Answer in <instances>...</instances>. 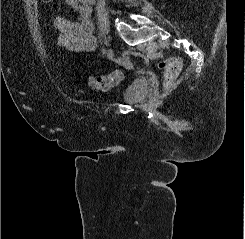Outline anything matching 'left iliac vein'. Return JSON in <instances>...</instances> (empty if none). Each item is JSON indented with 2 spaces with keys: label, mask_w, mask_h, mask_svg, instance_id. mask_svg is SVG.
<instances>
[{
  "label": "left iliac vein",
  "mask_w": 245,
  "mask_h": 239,
  "mask_svg": "<svg viewBox=\"0 0 245 239\" xmlns=\"http://www.w3.org/2000/svg\"><path fill=\"white\" fill-rule=\"evenodd\" d=\"M113 56H114V51H113L112 48H109V49L107 50V57H108V59H112Z\"/></svg>",
  "instance_id": "4c4485c4"
}]
</instances>
